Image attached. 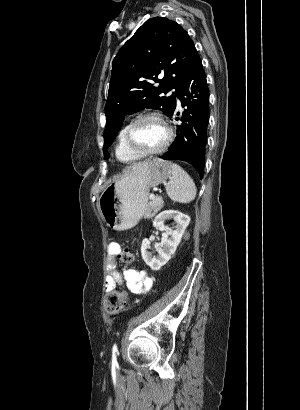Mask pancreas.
I'll return each instance as SVG.
<instances>
[{"label": "pancreas", "instance_id": "pancreas-1", "mask_svg": "<svg viewBox=\"0 0 300 410\" xmlns=\"http://www.w3.org/2000/svg\"><path fill=\"white\" fill-rule=\"evenodd\" d=\"M162 207V200L161 198H156L147 204L145 210V218L150 219L155 216V214L161 209Z\"/></svg>", "mask_w": 300, "mask_h": 410}]
</instances>
